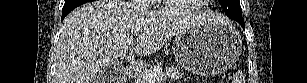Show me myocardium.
Listing matches in <instances>:
<instances>
[{"label":"myocardium","instance_id":"myocardium-1","mask_svg":"<svg viewBox=\"0 0 307 83\" xmlns=\"http://www.w3.org/2000/svg\"><path fill=\"white\" fill-rule=\"evenodd\" d=\"M173 0L163 1L162 8L169 11L171 14L184 16L195 13L204 7L203 3H207L208 1H202L201 4H196L195 6L187 9L176 8L173 6ZM201 1V0H200Z\"/></svg>","mask_w":307,"mask_h":83}]
</instances>
